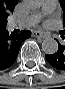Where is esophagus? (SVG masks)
<instances>
[{
	"label": "esophagus",
	"mask_w": 65,
	"mask_h": 89,
	"mask_svg": "<svg viewBox=\"0 0 65 89\" xmlns=\"http://www.w3.org/2000/svg\"><path fill=\"white\" fill-rule=\"evenodd\" d=\"M32 36L35 38H42V39L47 38V34L41 31H33Z\"/></svg>",
	"instance_id": "1"
}]
</instances>
